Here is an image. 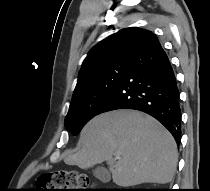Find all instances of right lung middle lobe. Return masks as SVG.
<instances>
[{"mask_svg": "<svg viewBox=\"0 0 210 191\" xmlns=\"http://www.w3.org/2000/svg\"><path fill=\"white\" fill-rule=\"evenodd\" d=\"M130 61H115L94 72L86 83L73 93L65 127L73 135L95 115L125 74Z\"/></svg>", "mask_w": 210, "mask_h": 191, "instance_id": "obj_1", "label": "right lung middle lobe"}]
</instances>
